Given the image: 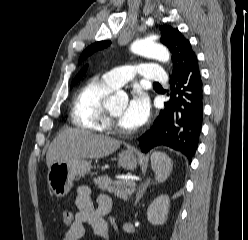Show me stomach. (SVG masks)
I'll return each mask as SVG.
<instances>
[{"label": "stomach", "instance_id": "0dacf381", "mask_svg": "<svg viewBox=\"0 0 248 240\" xmlns=\"http://www.w3.org/2000/svg\"><path fill=\"white\" fill-rule=\"evenodd\" d=\"M146 161V157L136 155L132 150L121 152L118 159L119 165L127 170H134L138 163ZM90 169L91 162L82 158L55 162L47 174L49 188L57 197H64L71 190L75 177L85 176Z\"/></svg>", "mask_w": 248, "mask_h": 240}]
</instances>
